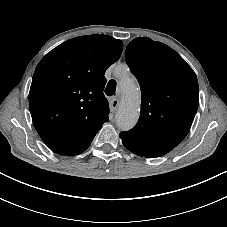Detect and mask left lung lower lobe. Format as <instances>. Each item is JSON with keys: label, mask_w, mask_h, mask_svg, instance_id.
<instances>
[{"label": "left lung lower lobe", "mask_w": 227, "mask_h": 227, "mask_svg": "<svg viewBox=\"0 0 227 227\" xmlns=\"http://www.w3.org/2000/svg\"><path fill=\"white\" fill-rule=\"evenodd\" d=\"M123 145H124L128 150H130L131 152H133L134 154L139 155V156H145V157H147V158H153V157L162 156V155H159V154L156 153V152L149 151V150H146V149H140V148H137V147H134V146H132V145L125 144V143H123Z\"/></svg>", "instance_id": "left-lung-lower-lobe-1"}]
</instances>
